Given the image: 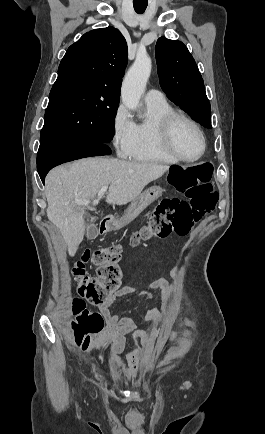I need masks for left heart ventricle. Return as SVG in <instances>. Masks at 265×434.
Listing matches in <instances>:
<instances>
[{
	"label": "left heart ventricle",
	"instance_id": "1",
	"mask_svg": "<svg viewBox=\"0 0 265 434\" xmlns=\"http://www.w3.org/2000/svg\"><path fill=\"white\" fill-rule=\"evenodd\" d=\"M174 141L184 158H196L202 151V142L198 133L187 123L180 122L177 125Z\"/></svg>",
	"mask_w": 265,
	"mask_h": 434
}]
</instances>
